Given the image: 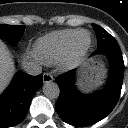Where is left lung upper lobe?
Masks as SVG:
<instances>
[{
    "label": "left lung upper lobe",
    "instance_id": "obj_1",
    "mask_svg": "<svg viewBox=\"0 0 128 128\" xmlns=\"http://www.w3.org/2000/svg\"><path fill=\"white\" fill-rule=\"evenodd\" d=\"M93 28L96 31L97 41H98V48L102 47L107 44H113L117 42L114 37H112L106 30L102 27L92 24Z\"/></svg>",
    "mask_w": 128,
    "mask_h": 128
}]
</instances>
